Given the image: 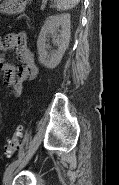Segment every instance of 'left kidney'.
Returning <instances> with one entry per match:
<instances>
[{"instance_id":"obj_1","label":"left kidney","mask_w":119,"mask_h":185,"mask_svg":"<svg viewBox=\"0 0 119 185\" xmlns=\"http://www.w3.org/2000/svg\"><path fill=\"white\" fill-rule=\"evenodd\" d=\"M61 27L60 35L56 33L57 28ZM49 34H53L52 41L57 45V50L48 53L46 40ZM70 41V14L49 16L38 36L37 49L39 62L49 69H54L60 63Z\"/></svg>"}]
</instances>
